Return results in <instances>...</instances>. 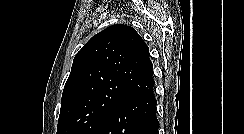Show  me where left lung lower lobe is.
I'll list each match as a JSON object with an SVG mask.
<instances>
[{
    "instance_id": "0a47b994",
    "label": "left lung lower lobe",
    "mask_w": 244,
    "mask_h": 134,
    "mask_svg": "<svg viewBox=\"0 0 244 134\" xmlns=\"http://www.w3.org/2000/svg\"><path fill=\"white\" fill-rule=\"evenodd\" d=\"M156 105L153 90L130 98L112 112L98 134H157Z\"/></svg>"
}]
</instances>
